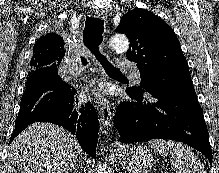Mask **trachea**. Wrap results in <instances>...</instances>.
<instances>
[{
  "label": "trachea",
  "instance_id": "3493384b",
  "mask_svg": "<svg viewBox=\"0 0 219 173\" xmlns=\"http://www.w3.org/2000/svg\"><path fill=\"white\" fill-rule=\"evenodd\" d=\"M103 23L100 18L88 17L86 19L85 28L83 31V42L90 52L96 57L107 74L122 75L121 71L115 68L100 52V45L103 42ZM82 64L86 65L87 61L81 57Z\"/></svg>",
  "mask_w": 219,
  "mask_h": 173
}]
</instances>
